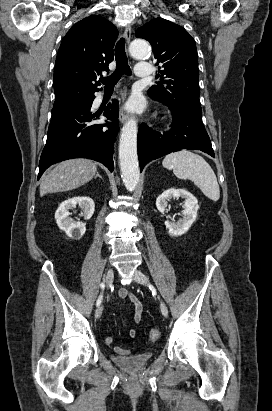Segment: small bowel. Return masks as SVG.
<instances>
[{
  "instance_id": "small-bowel-1",
  "label": "small bowel",
  "mask_w": 272,
  "mask_h": 411,
  "mask_svg": "<svg viewBox=\"0 0 272 411\" xmlns=\"http://www.w3.org/2000/svg\"><path fill=\"white\" fill-rule=\"evenodd\" d=\"M117 299H128L134 306V316L133 320L136 324H139L142 320L143 313V304L142 302L127 288H122L117 293ZM127 335L129 338H134L136 336V331L133 328L128 329ZM106 343L110 344L112 342L111 337H107ZM114 351L117 354L126 355L129 353V350L123 347H115Z\"/></svg>"
}]
</instances>
